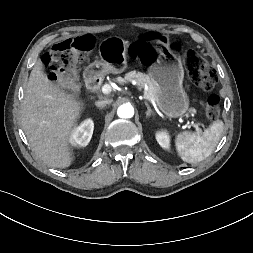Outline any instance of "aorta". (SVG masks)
Masks as SVG:
<instances>
[{
    "label": "aorta",
    "mask_w": 253,
    "mask_h": 253,
    "mask_svg": "<svg viewBox=\"0 0 253 253\" xmlns=\"http://www.w3.org/2000/svg\"><path fill=\"white\" fill-rule=\"evenodd\" d=\"M117 114L120 118H132L134 115V108L131 104H123L118 108Z\"/></svg>",
    "instance_id": "aorta-1"
}]
</instances>
